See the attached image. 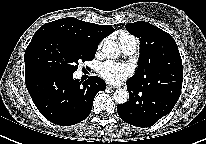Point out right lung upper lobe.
I'll return each instance as SVG.
<instances>
[{
  "label": "right lung upper lobe",
  "instance_id": "obj_1",
  "mask_svg": "<svg viewBox=\"0 0 206 144\" xmlns=\"http://www.w3.org/2000/svg\"><path fill=\"white\" fill-rule=\"evenodd\" d=\"M114 28L78 20L74 17L63 18L44 24L33 38L53 35L66 40L97 49L102 39L110 35Z\"/></svg>",
  "mask_w": 206,
  "mask_h": 144
}]
</instances>
